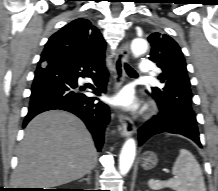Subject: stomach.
Segmentation results:
<instances>
[{
  "label": "stomach",
  "instance_id": "0dacf381",
  "mask_svg": "<svg viewBox=\"0 0 218 191\" xmlns=\"http://www.w3.org/2000/svg\"><path fill=\"white\" fill-rule=\"evenodd\" d=\"M140 163L145 170H151L157 165L158 157L154 152L146 151L142 154Z\"/></svg>",
  "mask_w": 218,
  "mask_h": 191
}]
</instances>
